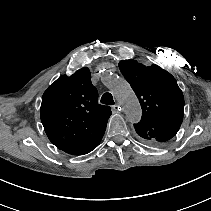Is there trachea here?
<instances>
[{"instance_id":"1","label":"trachea","mask_w":211,"mask_h":211,"mask_svg":"<svg viewBox=\"0 0 211 211\" xmlns=\"http://www.w3.org/2000/svg\"><path fill=\"white\" fill-rule=\"evenodd\" d=\"M100 102L103 103V104H106V105H114L115 104V102L113 100V96L108 92L103 94Z\"/></svg>"}]
</instances>
